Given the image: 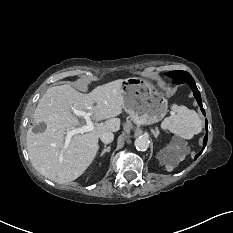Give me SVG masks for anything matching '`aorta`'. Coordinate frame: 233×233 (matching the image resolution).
Returning <instances> with one entry per match:
<instances>
[{
    "instance_id": "aorta-1",
    "label": "aorta",
    "mask_w": 233,
    "mask_h": 233,
    "mask_svg": "<svg viewBox=\"0 0 233 233\" xmlns=\"http://www.w3.org/2000/svg\"><path fill=\"white\" fill-rule=\"evenodd\" d=\"M134 145L137 150L145 151L149 148L150 141L145 136H139L138 138H136Z\"/></svg>"
}]
</instances>
